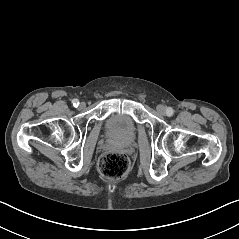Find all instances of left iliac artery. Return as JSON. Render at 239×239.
Segmentation results:
<instances>
[{"mask_svg": "<svg viewBox=\"0 0 239 239\" xmlns=\"http://www.w3.org/2000/svg\"><path fill=\"white\" fill-rule=\"evenodd\" d=\"M166 113H167L168 116H172L173 113H174V110H173L171 107H168V108L166 109Z\"/></svg>", "mask_w": 239, "mask_h": 239, "instance_id": "left-iliac-artery-1", "label": "left iliac artery"}]
</instances>
